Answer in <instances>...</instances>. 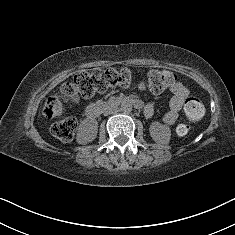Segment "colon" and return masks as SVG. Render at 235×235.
<instances>
[{
	"instance_id": "colon-1",
	"label": "colon",
	"mask_w": 235,
	"mask_h": 235,
	"mask_svg": "<svg viewBox=\"0 0 235 235\" xmlns=\"http://www.w3.org/2000/svg\"><path fill=\"white\" fill-rule=\"evenodd\" d=\"M176 81V76L169 70L153 69L147 78L140 82V88H148L152 93L158 94L166 90ZM132 82L131 72L127 69H95L80 72L73 80L61 87V94L73 102L82 98H91L97 93H103L114 87H128ZM203 105L197 98H187L184 103V113L190 121H197L203 115ZM44 115L54 119L51 131L59 140L68 142L73 139L77 122L73 117L63 114L62 103L57 96H50L44 105ZM188 126L180 125L179 134H185Z\"/></svg>"
}]
</instances>
